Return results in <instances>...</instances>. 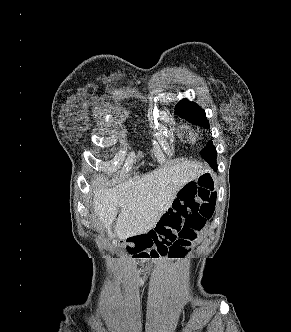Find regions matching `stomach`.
I'll list each match as a JSON object with an SVG mask.
<instances>
[{
  "mask_svg": "<svg viewBox=\"0 0 291 332\" xmlns=\"http://www.w3.org/2000/svg\"><path fill=\"white\" fill-rule=\"evenodd\" d=\"M194 182L199 188L208 191H214L217 188L216 176L210 170H206L205 172H203L195 179Z\"/></svg>",
  "mask_w": 291,
  "mask_h": 332,
  "instance_id": "obj_1",
  "label": "stomach"
}]
</instances>
